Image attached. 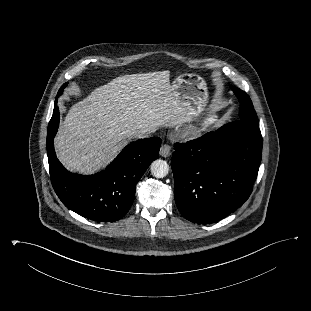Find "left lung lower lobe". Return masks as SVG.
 <instances>
[{
  "instance_id": "obj_1",
  "label": "left lung lower lobe",
  "mask_w": 311,
  "mask_h": 311,
  "mask_svg": "<svg viewBox=\"0 0 311 311\" xmlns=\"http://www.w3.org/2000/svg\"><path fill=\"white\" fill-rule=\"evenodd\" d=\"M262 142L258 126L240 120L198 139L176 143L171 168L182 216L207 224L240 207L252 192Z\"/></svg>"
}]
</instances>
